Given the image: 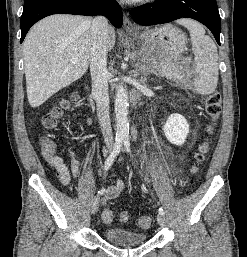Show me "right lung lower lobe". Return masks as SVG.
<instances>
[{"mask_svg": "<svg viewBox=\"0 0 247 257\" xmlns=\"http://www.w3.org/2000/svg\"><path fill=\"white\" fill-rule=\"evenodd\" d=\"M52 14L103 15L118 28L123 22L121 7L113 0H25L20 42L32 25Z\"/></svg>", "mask_w": 247, "mask_h": 257, "instance_id": "obj_1", "label": "right lung lower lobe"}]
</instances>
